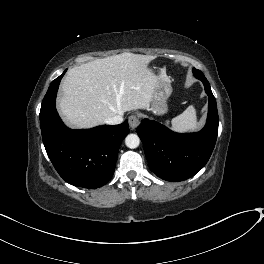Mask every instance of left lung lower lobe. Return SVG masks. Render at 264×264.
Here are the masks:
<instances>
[{"label":"left lung lower lobe","mask_w":264,"mask_h":264,"mask_svg":"<svg viewBox=\"0 0 264 264\" xmlns=\"http://www.w3.org/2000/svg\"><path fill=\"white\" fill-rule=\"evenodd\" d=\"M194 76L203 82L209 97L207 123L201 131L179 134L148 119L137 127L151 171L167 181H183L195 175L209 160L216 143V100L205 76Z\"/></svg>","instance_id":"0a47b994"}]
</instances>
